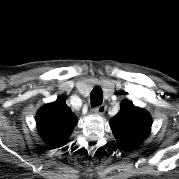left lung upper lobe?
Listing matches in <instances>:
<instances>
[{"label": "left lung upper lobe", "mask_w": 179, "mask_h": 179, "mask_svg": "<svg viewBox=\"0 0 179 179\" xmlns=\"http://www.w3.org/2000/svg\"><path fill=\"white\" fill-rule=\"evenodd\" d=\"M151 122L148 112L134 106L130 101H124L119 113L112 118L110 124L116 139L132 148L150 133Z\"/></svg>", "instance_id": "obj_1"}]
</instances>
